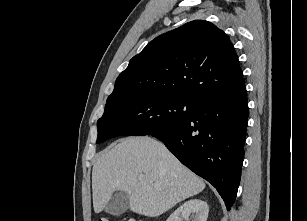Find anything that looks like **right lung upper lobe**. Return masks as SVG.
I'll return each instance as SVG.
<instances>
[{"mask_svg": "<svg viewBox=\"0 0 307 221\" xmlns=\"http://www.w3.org/2000/svg\"><path fill=\"white\" fill-rule=\"evenodd\" d=\"M245 87L228 36L195 20L152 40L118 76L106 104L135 95L163 94L195 103Z\"/></svg>", "mask_w": 307, "mask_h": 221, "instance_id": "right-lung-upper-lobe-1", "label": "right lung upper lobe"}]
</instances>
